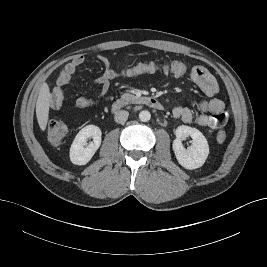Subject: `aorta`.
Masks as SVG:
<instances>
[{
    "mask_svg": "<svg viewBox=\"0 0 267 267\" xmlns=\"http://www.w3.org/2000/svg\"><path fill=\"white\" fill-rule=\"evenodd\" d=\"M151 118V114L149 111L147 110H143L139 113V119L142 121V122H147L149 121Z\"/></svg>",
    "mask_w": 267,
    "mask_h": 267,
    "instance_id": "1",
    "label": "aorta"
}]
</instances>
